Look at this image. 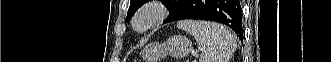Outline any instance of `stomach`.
<instances>
[{
    "mask_svg": "<svg viewBox=\"0 0 331 62\" xmlns=\"http://www.w3.org/2000/svg\"><path fill=\"white\" fill-rule=\"evenodd\" d=\"M192 49L191 41L185 36L175 35L167 39L164 43H150L141 52L145 62H158L165 56L174 58H184Z\"/></svg>",
    "mask_w": 331,
    "mask_h": 62,
    "instance_id": "1",
    "label": "stomach"
}]
</instances>
